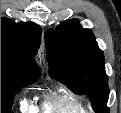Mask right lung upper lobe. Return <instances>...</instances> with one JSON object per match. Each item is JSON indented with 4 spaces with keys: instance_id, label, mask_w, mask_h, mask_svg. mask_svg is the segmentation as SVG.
Listing matches in <instances>:
<instances>
[{
    "instance_id": "obj_1",
    "label": "right lung upper lobe",
    "mask_w": 121,
    "mask_h": 113,
    "mask_svg": "<svg viewBox=\"0 0 121 113\" xmlns=\"http://www.w3.org/2000/svg\"><path fill=\"white\" fill-rule=\"evenodd\" d=\"M41 29L31 22L1 20V64L17 68L30 77L39 78L34 56L40 45Z\"/></svg>"
}]
</instances>
